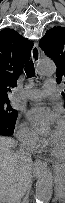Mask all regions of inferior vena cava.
Here are the masks:
<instances>
[{"label":"inferior vena cava","mask_w":65,"mask_h":203,"mask_svg":"<svg viewBox=\"0 0 65 203\" xmlns=\"http://www.w3.org/2000/svg\"><path fill=\"white\" fill-rule=\"evenodd\" d=\"M17 155L26 161H31V155L21 146ZM25 191L24 184H21L18 190H16L13 194V198L11 199V203H21V197ZM3 202V200L1 201Z\"/></svg>","instance_id":"inferior-vena-cava-1"}]
</instances>
